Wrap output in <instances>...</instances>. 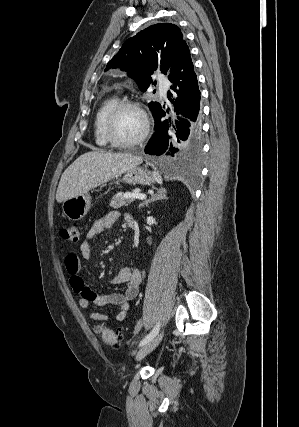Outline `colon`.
I'll use <instances>...</instances> for the list:
<instances>
[{"label":"colon","instance_id":"5ec220e1","mask_svg":"<svg viewBox=\"0 0 299 427\" xmlns=\"http://www.w3.org/2000/svg\"><path fill=\"white\" fill-rule=\"evenodd\" d=\"M60 236L67 241L77 243L80 240L79 226L76 224H70L65 227H62L60 230ZM95 331L99 334L101 340L105 344L114 347L120 346L122 338L113 330L109 329L104 325L97 324L95 325Z\"/></svg>","mask_w":299,"mask_h":427}]
</instances>
